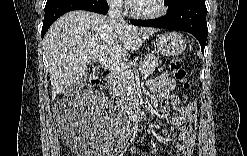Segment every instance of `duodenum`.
<instances>
[{
	"instance_id": "obj_1",
	"label": "duodenum",
	"mask_w": 247,
	"mask_h": 156,
	"mask_svg": "<svg viewBox=\"0 0 247 156\" xmlns=\"http://www.w3.org/2000/svg\"><path fill=\"white\" fill-rule=\"evenodd\" d=\"M107 79L112 82L113 76L108 75ZM125 109L127 113L130 115V117L134 120L140 121L144 118V112L141 110L139 103H138V97L136 95L132 96L127 100V105L125 106Z\"/></svg>"
}]
</instances>
